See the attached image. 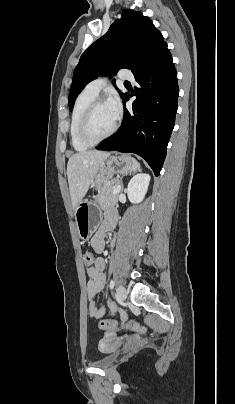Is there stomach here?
<instances>
[{
  "mask_svg": "<svg viewBox=\"0 0 235 404\" xmlns=\"http://www.w3.org/2000/svg\"><path fill=\"white\" fill-rule=\"evenodd\" d=\"M134 171L133 158L127 154L109 155L94 177L91 187L99 190L100 186L114 174L125 175ZM78 236L88 240L97 230L102 220V209L96 202L82 201L74 210Z\"/></svg>",
  "mask_w": 235,
  "mask_h": 404,
  "instance_id": "1",
  "label": "stomach"
}]
</instances>
